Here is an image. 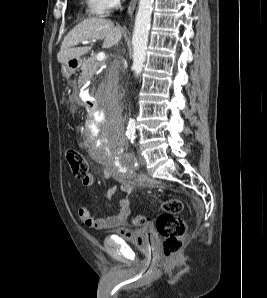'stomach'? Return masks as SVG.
Returning a JSON list of instances; mask_svg holds the SVG:
<instances>
[{"label": "stomach", "instance_id": "1", "mask_svg": "<svg viewBox=\"0 0 267 298\" xmlns=\"http://www.w3.org/2000/svg\"><path fill=\"white\" fill-rule=\"evenodd\" d=\"M80 59H71L64 63L61 68V72L64 77H69L72 73H74L81 65Z\"/></svg>", "mask_w": 267, "mask_h": 298}]
</instances>
